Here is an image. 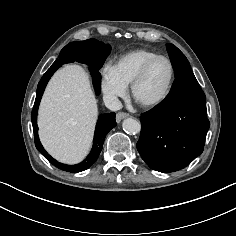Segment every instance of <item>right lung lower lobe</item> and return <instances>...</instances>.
<instances>
[{"label":"right lung lower lobe","mask_w":236,"mask_h":236,"mask_svg":"<svg viewBox=\"0 0 236 236\" xmlns=\"http://www.w3.org/2000/svg\"><path fill=\"white\" fill-rule=\"evenodd\" d=\"M110 51V45L99 42L96 39H88L85 41L69 43L61 50L59 58L56 59V61L51 65L38 84L36 99L31 114L35 135V146L37 150L40 151L51 164L60 170L76 173L88 169L97 160L102 150L105 136L117 124L115 121L114 112L109 114H101L98 118L95 129L93 147L88 157L76 165L62 164L56 161L45 151L38 137L37 112L45 87L51 76L60 66L65 63L77 61L90 66V71L93 77V85L97 95H99L101 90V74L98 72V70L102 67Z\"/></svg>","instance_id":"98d812e1"}]
</instances>
